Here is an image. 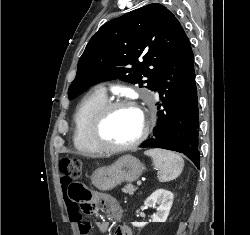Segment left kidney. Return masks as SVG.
Listing matches in <instances>:
<instances>
[{"label":"left kidney","mask_w":250,"mask_h":235,"mask_svg":"<svg viewBox=\"0 0 250 235\" xmlns=\"http://www.w3.org/2000/svg\"><path fill=\"white\" fill-rule=\"evenodd\" d=\"M173 199L174 196L172 192L165 189H158L145 200L144 204L147 207L155 208V206L158 205L157 212L152 217L153 222H166L173 204ZM132 225L135 227H144L145 223L133 222Z\"/></svg>","instance_id":"1"}]
</instances>
